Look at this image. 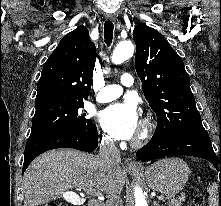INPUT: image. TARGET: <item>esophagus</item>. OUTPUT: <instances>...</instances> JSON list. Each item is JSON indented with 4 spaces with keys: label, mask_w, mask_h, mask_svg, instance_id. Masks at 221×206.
<instances>
[{
    "label": "esophagus",
    "mask_w": 221,
    "mask_h": 206,
    "mask_svg": "<svg viewBox=\"0 0 221 206\" xmlns=\"http://www.w3.org/2000/svg\"><path fill=\"white\" fill-rule=\"evenodd\" d=\"M106 19L108 20H114L115 17L113 15H106ZM125 169L126 170H140L142 169V166L140 163L133 161L130 158H126L124 161Z\"/></svg>",
    "instance_id": "1"
}]
</instances>
